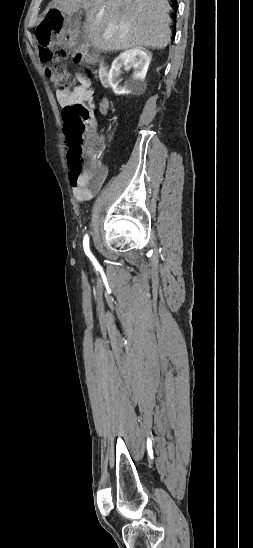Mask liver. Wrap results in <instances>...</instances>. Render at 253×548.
<instances>
[{
    "mask_svg": "<svg viewBox=\"0 0 253 548\" xmlns=\"http://www.w3.org/2000/svg\"><path fill=\"white\" fill-rule=\"evenodd\" d=\"M81 8L84 39L101 51L163 49L170 42L167 0H52L48 7L67 16Z\"/></svg>",
    "mask_w": 253,
    "mask_h": 548,
    "instance_id": "6515ba94",
    "label": "liver"
}]
</instances>
